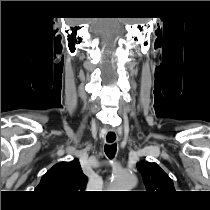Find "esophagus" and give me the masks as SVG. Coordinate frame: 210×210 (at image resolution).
Returning <instances> with one entry per match:
<instances>
[{
  "label": "esophagus",
  "instance_id": "esophagus-1",
  "mask_svg": "<svg viewBox=\"0 0 210 210\" xmlns=\"http://www.w3.org/2000/svg\"><path fill=\"white\" fill-rule=\"evenodd\" d=\"M118 140V136L115 132L107 131L104 137V142L106 144H113Z\"/></svg>",
  "mask_w": 210,
  "mask_h": 210
}]
</instances>
